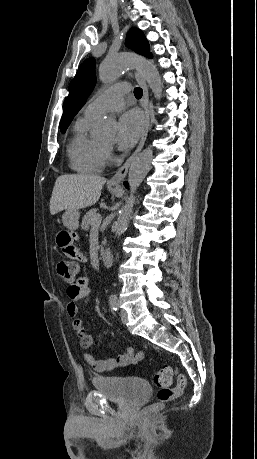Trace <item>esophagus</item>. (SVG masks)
<instances>
[{
	"instance_id": "obj_1",
	"label": "esophagus",
	"mask_w": 257,
	"mask_h": 459,
	"mask_svg": "<svg viewBox=\"0 0 257 459\" xmlns=\"http://www.w3.org/2000/svg\"><path fill=\"white\" fill-rule=\"evenodd\" d=\"M135 78L138 82V84L141 86L143 90V97L141 100V105L144 110L145 114V125L143 129V133L140 139V142L136 148V150L133 152V154L126 160V162L119 168V170L113 175V177L110 179L109 184L113 186H119L120 183L124 180L126 177L129 167L132 163V161L135 159V157L138 155V153L141 151V149L144 146V143L147 138V134L149 131L150 127V113H149V97H148V89L146 86V83L141 76L139 72H135Z\"/></svg>"
}]
</instances>
